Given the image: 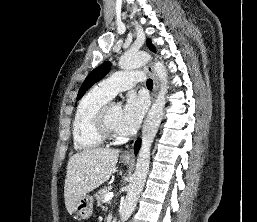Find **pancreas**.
Masks as SVG:
<instances>
[{
	"label": "pancreas",
	"mask_w": 257,
	"mask_h": 222,
	"mask_svg": "<svg viewBox=\"0 0 257 222\" xmlns=\"http://www.w3.org/2000/svg\"><path fill=\"white\" fill-rule=\"evenodd\" d=\"M110 187H103L96 194V203L97 206L100 207L104 203L105 196L110 192Z\"/></svg>",
	"instance_id": "1"
}]
</instances>
